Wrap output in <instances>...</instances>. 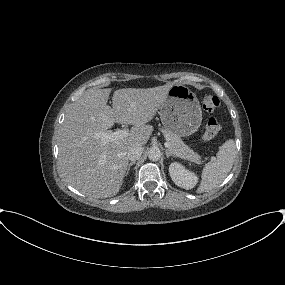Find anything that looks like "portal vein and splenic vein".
<instances>
[{"label":"portal vein and splenic vein","mask_w":285,"mask_h":285,"mask_svg":"<svg viewBox=\"0 0 285 285\" xmlns=\"http://www.w3.org/2000/svg\"><path fill=\"white\" fill-rule=\"evenodd\" d=\"M129 135V131L126 129L111 131H103L94 134V137L101 140L102 144L117 141L123 139ZM165 147L170 148V143L165 142Z\"/></svg>","instance_id":"portal-vein-and-splenic-vein-1"}]
</instances>
